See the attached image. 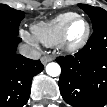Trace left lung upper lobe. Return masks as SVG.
Returning a JSON list of instances; mask_svg holds the SVG:
<instances>
[{
    "label": "left lung upper lobe",
    "mask_w": 107,
    "mask_h": 107,
    "mask_svg": "<svg viewBox=\"0 0 107 107\" xmlns=\"http://www.w3.org/2000/svg\"><path fill=\"white\" fill-rule=\"evenodd\" d=\"M91 18L93 30L97 29L103 24H107V11L99 7H93L86 4H78Z\"/></svg>",
    "instance_id": "1"
}]
</instances>
